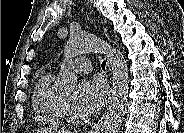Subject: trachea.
Wrapping results in <instances>:
<instances>
[{"label": "trachea", "instance_id": "obj_1", "mask_svg": "<svg viewBox=\"0 0 184 133\" xmlns=\"http://www.w3.org/2000/svg\"><path fill=\"white\" fill-rule=\"evenodd\" d=\"M101 67L103 70H105V67H106V61H103L102 64H101Z\"/></svg>", "mask_w": 184, "mask_h": 133}]
</instances>
